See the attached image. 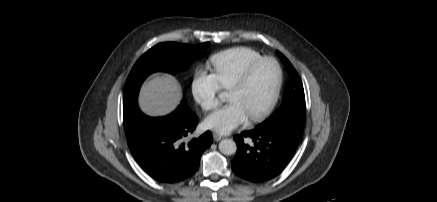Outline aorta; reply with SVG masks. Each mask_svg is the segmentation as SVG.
Here are the masks:
<instances>
[{
    "instance_id": "aorta-1",
    "label": "aorta",
    "mask_w": 437,
    "mask_h": 202,
    "mask_svg": "<svg viewBox=\"0 0 437 202\" xmlns=\"http://www.w3.org/2000/svg\"><path fill=\"white\" fill-rule=\"evenodd\" d=\"M219 150L224 155H232L236 152L237 146L232 139H223L219 143Z\"/></svg>"
}]
</instances>
